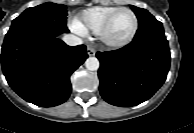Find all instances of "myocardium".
I'll return each mask as SVG.
<instances>
[{
    "label": "myocardium",
    "instance_id": "obj_1",
    "mask_svg": "<svg viewBox=\"0 0 194 133\" xmlns=\"http://www.w3.org/2000/svg\"><path fill=\"white\" fill-rule=\"evenodd\" d=\"M123 11H127L130 12L132 14V16L134 17V28L131 32V34L124 40L122 41H113L109 38L108 33L110 30V27L114 21V19L116 18V16ZM138 27H139V20L138 17L136 15V13L127 7H121L119 9H117L115 12H113L108 19L105 21V23L103 24L102 28L100 29L98 35L100 37V39L107 45L110 47H115V48H120V47H124L126 45H128L135 37L137 31H138Z\"/></svg>",
    "mask_w": 194,
    "mask_h": 133
}]
</instances>
